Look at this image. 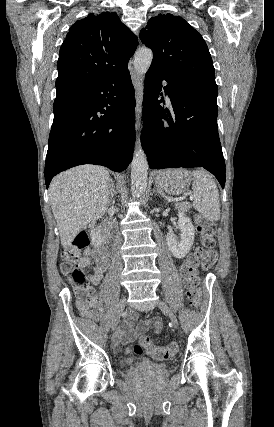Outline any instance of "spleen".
Returning a JSON list of instances; mask_svg holds the SVG:
<instances>
[{"mask_svg":"<svg viewBox=\"0 0 274 427\" xmlns=\"http://www.w3.org/2000/svg\"><path fill=\"white\" fill-rule=\"evenodd\" d=\"M193 206L206 219H220L218 188L215 180L204 170H193Z\"/></svg>","mask_w":274,"mask_h":427,"instance_id":"obj_1","label":"spleen"}]
</instances>
